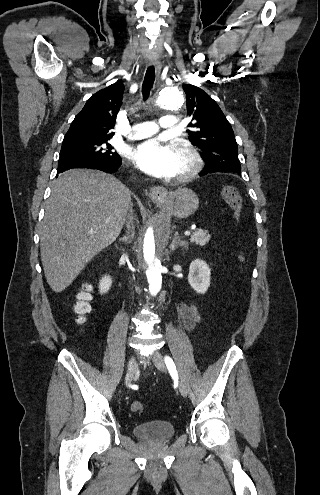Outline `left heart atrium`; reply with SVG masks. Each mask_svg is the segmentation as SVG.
Returning <instances> with one entry per match:
<instances>
[{
    "instance_id": "1",
    "label": "left heart atrium",
    "mask_w": 320,
    "mask_h": 495,
    "mask_svg": "<svg viewBox=\"0 0 320 495\" xmlns=\"http://www.w3.org/2000/svg\"><path fill=\"white\" fill-rule=\"evenodd\" d=\"M131 160L145 173L158 178L176 176L177 157L173 147L151 139L138 144L130 154Z\"/></svg>"
}]
</instances>
